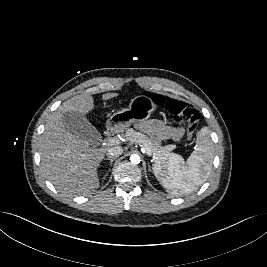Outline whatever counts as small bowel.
Masks as SVG:
<instances>
[{"mask_svg":"<svg viewBox=\"0 0 267 267\" xmlns=\"http://www.w3.org/2000/svg\"><path fill=\"white\" fill-rule=\"evenodd\" d=\"M139 128L159 141H166L168 139L177 141L184 134L182 127H167L158 120L142 122L139 124Z\"/></svg>","mask_w":267,"mask_h":267,"instance_id":"1","label":"small bowel"}]
</instances>
